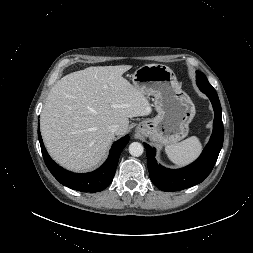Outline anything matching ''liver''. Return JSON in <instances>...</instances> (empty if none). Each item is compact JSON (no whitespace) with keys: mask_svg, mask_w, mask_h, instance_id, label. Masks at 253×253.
<instances>
[{"mask_svg":"<svg viewBox=\"0 0 253 253\" xmlns=\"http://www.w3.org/2000/svg\"><path fill=\"white\" fill-rule=\"evenodd\" d=\"M131 65L88 67L70 73L50 90L40 115L44 144L51 157L73 171L96 167L105 157L118 124V136L129 118L147 116V97L122 75Z\"/></svg>","mask_w":253,"mask_h":253,"instance_id":"6515ba94","label":"liver"}]
</instances>
